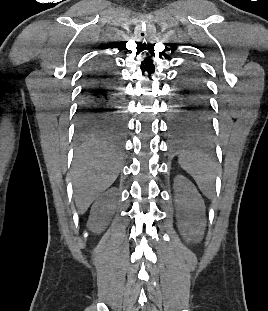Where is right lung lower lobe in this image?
I'll use <instances>...</instances> for the list:
<instances>
[{
  "mask_svg": "<svg viewBox=\"0 0 268 311\" xmlns=\"http://www.w3.org/2000/svg\"><path fill=\"white\" fill-rule=\"evenodd\" d=\"M114 68L97 62L87 80L77 109V135L81 139L103 137L120 141L126 132L125 100Z\"/></svg>",
  "mask_w": 268,
  "mask_h": 311,
  "instance_id": "98d812e1",
  "label": "right lung lower lobe"
}]
</instances>
